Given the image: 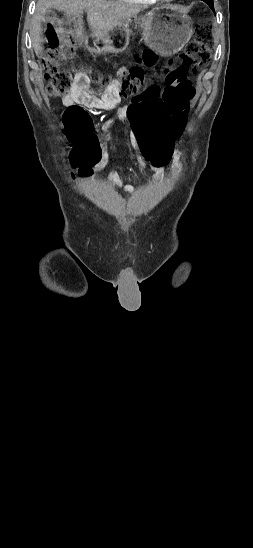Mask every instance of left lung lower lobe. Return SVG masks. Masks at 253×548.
<instances>
[{
	"label": "left lung lower lobe",
	"mask_w": 253,
	"mask_h": 548,
	"mask_svg": "<svg viewBox=\"0 0 253 548\" xmlns=\"http://www.w3.org/2000/svg\"><path fill=\"white\" fill-rule=\"evenodd\" d=\"M204 2H206L210 8L214 11V5H213V0H203Z\"/></svg>",
	"instance_id": "1"
}]
</instances>
